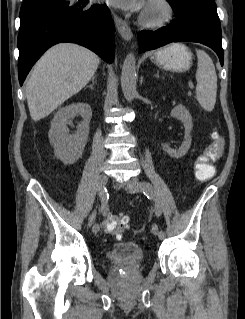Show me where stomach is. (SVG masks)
<instances>
[{
    "label": "stomach",
    "mask_w": 245,
    "mask_h": 319,
    "mask_svg": "<svg viewBox=\"0 0 245 319\" xmlns=\"http://www.w3.org/2000/svg\"><path fill=\"white\" fill-rule=\"evenodd\" d=\"M151 59L166 70L183 72L192 64V53L184 44L173 43L156 51Z\"/></svg>",
    "instance_id": "stomach-1"
}]
</instances>
